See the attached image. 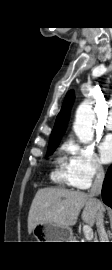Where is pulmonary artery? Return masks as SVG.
<instances>
[{
  "label": "pulmonary artery",
  "instance_id": "pulmonary-artery-1",
  "mask_svg": "<svg viewBox=\"0 0 112 270\" xmlns=\"http://www.w3.org/2000/svg\"><path fill=\"white\" fill-rule=\"evenodd\" d=\"M105 127L108 129V130H112V112H110L106 122H105Z\"/></svg>",
  "mask_w": 112,
  "mask_h": 270
}]
</instances>
